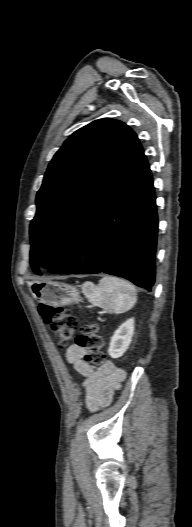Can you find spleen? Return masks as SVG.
<instances>
[{
	"label": "spleen",
	"instance_id": "1",
	"mask_svg": "<svg viewBox=\"0 0 192 527\" xmlns=\"http://www.w3.org/2000/svg\"><path fill=\"white\" fill-rule=\"evenodd\" d=\"M82 292L90 303L113 313L130 310L137 301L135 287L120 278L104 276L98 285L86 281Z\"/></svg>",
	"mask_w": 192,
	"mask_h": 527
}]
</instances>
